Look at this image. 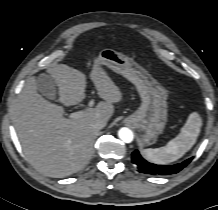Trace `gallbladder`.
I'll list each match as a JSON object with an SVG mask.
<instances>
[{"mask_svg": "<svg viewBox=\"0 0 218 210\" xmlns=\"http://www.w3.org/2000/svg\"><path fill=\"white\" fill-rule=\"evenodd\" d=\"M37 90L46 98L55 100L57 95L54 79L46 73H41L36 79Z\"/></svg>", "mask_w": 218, "mask_h": 210, "instance_id": "bac80fb5", "label": "gallbladder"}]
</instances>
